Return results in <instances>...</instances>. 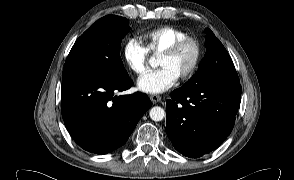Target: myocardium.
Wrapping results in <instances>:
<instances>
[{
	"mask_svg": "<svg viewBox=\"0 0 294 180\" xmlns=\"http://www.w3.org/2000/svg\"><path fill=\"white\" fill-rule=\"evenodd\" d=\"M187 45L193 47L194 58L189 69L179 78L181 81H187L192 78L200 65L202 59V46L200 42L193 37L187 36L176 40L170 47L160 54V56L172 57Z\"/></svg>",
	"mask_w": 294,
	"mask_h": 180,
	"instance_id": "myocardium-1",
	"label": "myocardium"
}]
</instances>
